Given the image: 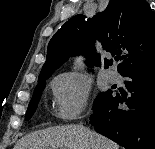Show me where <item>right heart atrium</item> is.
<instances>
[{
    "label": "right heart atrium",
    "mask_w": 155,
    "mask_h": 149,
    "mask_svg": "<svg viewBox=\"0 0 155 149\" xmlns=\"http://www.w3.org/2000/svg\"><path fill=\"white\" fill-rule=\"evenodd\" d=\"M53 106L56 116L69 121L85 111L90 87L86 80L73 72L62 73L52 81Z\"/></svg>",
    "instance_id": "1"
}]
</instances>
